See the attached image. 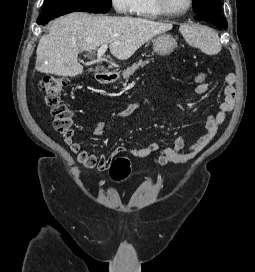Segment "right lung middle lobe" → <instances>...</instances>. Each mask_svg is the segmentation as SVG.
<instances>
[{
  "mask_svg": "<svg viewBox=\"0 0 255 272\" xmlns=\"http://www.w3.org/2000/svg\"><path fill=\"white\" fill-rule=\"evenodd\" d=\"M111 6V0H44L42 11L106 13Z\"/></svg>",
  "mask_w": 255,
  "mask_h": 272,
  "instance_id": "right-lung-middle-lobe-1",
  "label": "right lung middle lobe"
}]
</instances>
